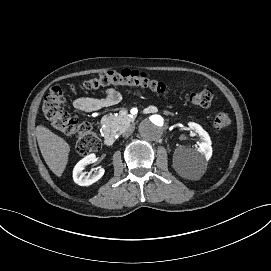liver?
<instances>
[{
  "instance_id": "6515ba94",
  "label": "liver",
  "mask_w": 271,
  "mask_h": 271,
  "mask_svg": "<svg viewBox=\"0 0 271 271\" xmlns=\"http://www.w3.org/2000/svg\"><path fill=\"white\" fill-rule=\"evenodd\" d=\"M35 135L46 164L54 174L61 176L67 163L69 146L48 129L40 126L36 128Z\"/></svg>"
}]
</instances>
